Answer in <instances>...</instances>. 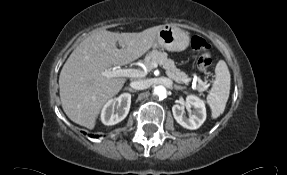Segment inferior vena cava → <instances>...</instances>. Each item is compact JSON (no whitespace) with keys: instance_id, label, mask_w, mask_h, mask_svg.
Returning a JSON list of instances; mask_svg holds the SVG:
<instances>
[{"instance_id":"inferior-vena-cava-1","label":"inferior vena cava","mask_w":287,"mask_h":175,"mask_svg":"<svg viewBox=\"0 0 287 175\" xmlns=\"http://www.w3.org/2000/svg\"><path fill=\"white\" fill-rule=\"evenodd\" d=\"M130 86L136 90L147 89L150 86L149 81L147 80H137L130 83Z\"/></svg>"}]
</instances>
